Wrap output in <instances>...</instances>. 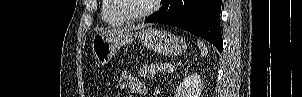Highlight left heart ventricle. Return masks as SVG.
Returning a JSON list of instances; mask_svg holds the SVG:
<instances>
[{"label":"left heart ventricle","mask_w":302,"mask_h":97,"mask_svg":"<svg viewBox=\"0 0 302 97\" xmlns=\"http://www.w3.org/2000/svg\"><path fill=\"white\" fill-rule=\"evenodd\" d=\"M122 8L130 14L144 12L152 3V0H120Z\"/></svg>","instance_id":"1"}]
</instances>
